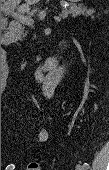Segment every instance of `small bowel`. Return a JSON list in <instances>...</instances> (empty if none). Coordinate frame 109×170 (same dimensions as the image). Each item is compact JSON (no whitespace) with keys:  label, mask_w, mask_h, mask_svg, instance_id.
<instances>
[{"label":"small bowel","mask_w":109,"mask_h":170,"mask_svg":"<svg viewBox=\"0 0 109 170\" xmlns=\"http://www.w3.org/2000/svg\"><path fill=\"white\" fill-rule=\"evenodd\" d=\"M46 95H48V96L50 95L49 90H46ZM47 137H48V132L46 129H43L38 135V141L45 142L47 140Z\"/></svg>","instance_id":"obj_1"}]
</instances>
